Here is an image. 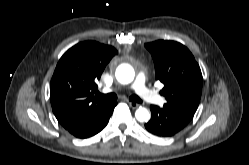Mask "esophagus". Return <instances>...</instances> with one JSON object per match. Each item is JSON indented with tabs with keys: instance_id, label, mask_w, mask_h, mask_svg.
Listing matches in <instances>:
<instances>
[{
	"instance_id": "1",
	"label": "esophagus",
	"mask_w": 249,
	"mask_h": 165,
	"mask_svg": "<svg viewBox=\"0 0 249 165\" xmlns=\"http://www.w3.org/2000/svg\"><path fill=\"white\" fill-rule=\"evenodd\" d=\"M127 103L129 104V106L133 109L138 108L140 105L136 102H132V101H127Z\"/></svg>"
}]
</instances>
